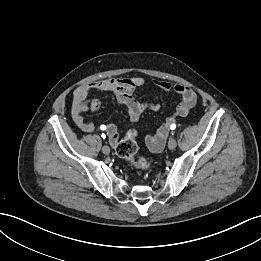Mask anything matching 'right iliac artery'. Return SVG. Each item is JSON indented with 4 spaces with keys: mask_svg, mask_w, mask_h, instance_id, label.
Listing matches in <instances>:
<instances>
[{
    "mask_svg": "<svg viewBox=\"0 0 261 261\" xmlns=\"http://www.w3.org/2000/svg\"><path fill=\"white\" fill-rule=\"evenodd\" d=\"M101 130H105V125H101ZM101 137L103 138V139H105L106 138V135L104 134V133H102V135H101Z\"/></svg>",
    "mask_w": 261,
    "mask_h": 261,
    "instance_id": "1",
    "label": "right iliac artery"
}]
</instances>
